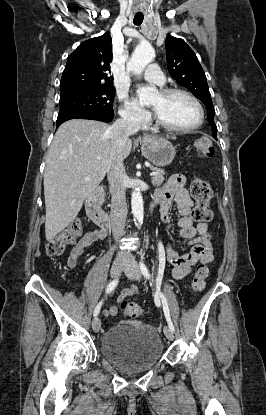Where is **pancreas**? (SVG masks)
<instances>
[{"mask_svg":"<svg viewBox=\"0 0 266 415\" xmlns=\"http://www.w3.org/2000/svg\"><path fill=\"white\" fill-rule=\"evenodd\" d=\"M151 169L154 172H157V175L152 176V180H151L152 185L155 186V187H159L164 181V172L162 170L154 168V167H152Z\"/></svg>","mask_w":266,"mask_h":415,"instance_id":"1","label":"pancreas"}]
</instances>
